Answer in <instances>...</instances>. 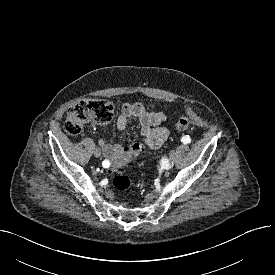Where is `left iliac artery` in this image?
I'll return each instance as SVG.
<instances>
[{"instance_id": "44dca946", "label": "left iliac artery", "mask_w": 275, "mask_h": 275, "mask_svg": "<svg viewBox=\"0 0 275 275\" xmlns=\"http://www.w3.org/2000/svg\"><path fill=\"white\" fill-rule=\"evenodd\" d=\"M181 141H182L184 144H188V143H190L191 138H190L188 135H186V136H183V137H182Z\"/></svg>"}]
</instances>
